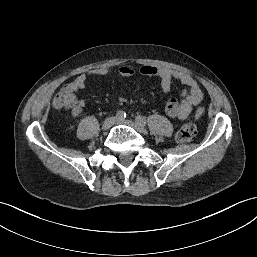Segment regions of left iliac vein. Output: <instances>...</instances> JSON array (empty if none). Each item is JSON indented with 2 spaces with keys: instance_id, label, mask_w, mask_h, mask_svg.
<instances>
[{
  "instance_id": "left-iliac-vein-1",
  "label": "left iliac vein",
  "mask_w": 257,
  "mask_h": 257,
  "mask_svg": "<svg viewBox=\"0 0 257 257\" xmlns=\"http://www.w3.org/2000/svg\"><path fill=\"white\" fill-rule=\"evenodd\" d=\"M115 124L117 125H127L132 127L133 129H135L136 131L140 132V133H147V130L138 122H133L131 120H127V119H116L115 120Z\"/></svg>"
}]
</instances>
